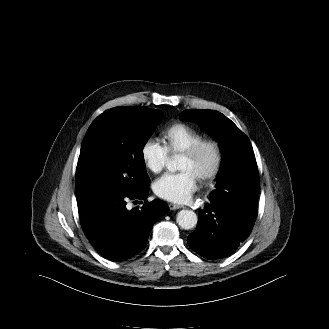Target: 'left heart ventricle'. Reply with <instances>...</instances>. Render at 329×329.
Returning a JSON list of instances; mask_svg holds the SVG:
<instances>
[{
  "instance_id": "b2bd125f",
  "label": "left heart ventricle",
  "mask_w": 329,
  "mask_h": 329,
  "mask_svg": "<svg viewBox=\"0 0 329 329\" xmlns=\"http://www.w3.org/2000/svg\"><path fill=\"white\" fill-rule=\"evenodd\" d=\"M214 161V156L211 150H204L197 158H188L181 156L179 162L180 170H190L197 178L208 171Z\"/></svg>"
}]
</instances>
